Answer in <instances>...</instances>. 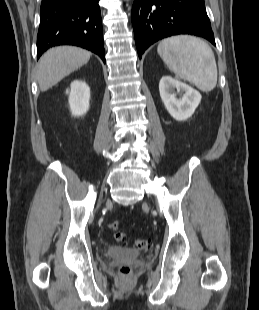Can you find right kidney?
Listing matches in <instances>:
<instances>
[{"label":"right kidney","mask_w":259,"mask_h":310,"mask_svg":"<svg viewBox=\"0 0 259 310\" xmlns=\"http://www.w3.org/2000/svg\"><path fill=\"white\" fill-rule=\"evenodd\" d=\"M69 106L73 116H82L89 109L90 88L84 81L75 80L71 83Z\"/></svg>","instance_id":"right-kidney-1"}]
</instances>
